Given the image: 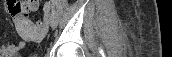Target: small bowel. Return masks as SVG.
<instances>
[{
    "label": "small bowel",
    "mask_w": 172,
    "mask_h": 57,
    "mask_svg": "<svg viewBox=\"0 0 172 57\" xmlns=\"http://www.w3.org/2000/svg\"><path fill=\"white\" fill-rule=\"evenodd\" d=\"M10 11L12 13V20L14 23H21L29 15L30 12H33L38 7V1L36 0H26V1H16L11 2ZM26 46V41L21 40L16 44H8L0 46V56L2 57H13L19 53Z\"/></svg>",
    "instance_id": "obj_1"
}]
</instances>
